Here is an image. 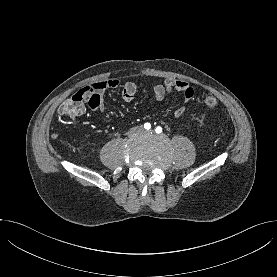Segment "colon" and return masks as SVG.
Instances as JSON below:
<instances>
[{
  "label": "colon",
  "instance_id": "5ec220e1",
  "mask_svg": "<svg viewBox=\"0 0 277 277\" xmlns=\"http://www.w3.org/2000/svg\"><path fill=\"white\" fill-rule=\"evenodd\" d=\"M93 99V96L81 90L61 104L59 113L62 116H68L70 118L80 116L85 112L86 104L90 106ZM204 103L209 108H215L218 104V100L213 94H207L204 97Z\"/></svg>",
  "mask_w": 277,
  "mask_h": 277
}]
</instances>
